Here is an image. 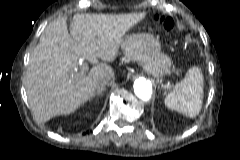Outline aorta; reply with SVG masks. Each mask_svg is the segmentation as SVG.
Masks as SVG:
<instances>
[{"label": "aorta", "instance_id": "1", "mask_svg": "<svg viewBox=\"0 0 240 160\" xmlns=\"http://www.w3.org/2000/svg\"><path fill=\"white\" fill-rule=\"evenodd\" d=\"M134 92L136 96L141 99L142 101H149L152 96V84L150 81L144 78H138L135 80L134 85Z\"/></svg>", "mask_w": 240, "mask_h": 160}]
</instances>
